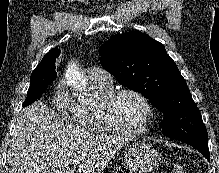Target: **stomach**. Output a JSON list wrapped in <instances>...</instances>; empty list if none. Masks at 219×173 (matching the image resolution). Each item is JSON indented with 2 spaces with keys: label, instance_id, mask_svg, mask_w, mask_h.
Returning a JSON list of instances; mask_svg holds the SVG:
<instances>
[{
  "label": "stomach",
  "instance_id": "obj_1",
  "mask_svg": "<svg viewBox=\"0 0 219 173\" xmlns=\"http://www.w3.org/2000/svg\"><path fill=\"white\" fill-rule=\"evenodd\" d=\"M123 160L130 173H149L159 165L160 154L150 144L134 142L125 149Z\"/></svg>",
  "mask_w": 219,
  "mask_h": 173
}]
</instances>
